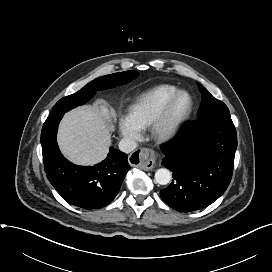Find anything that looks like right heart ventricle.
<instances>
[{
	"instance_id": "right-heart-ventricle-1",
	"label": "right heart ventricle",
	"mask_w": 272,
	"mask_h": 272,
	"mask_svg": "<svg viewBox=\"0 0 272 272\" xmlns=\"http://www.w3.org/2000/svg\"><path fill=\"white\" fill-rule=\"evenodd\" d=\"M177 90L175 85L162 84L140 94L128 108L129 120L139 130L149 128Z\"/></svg>"
}]
</instances>
